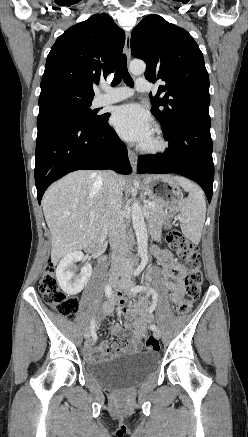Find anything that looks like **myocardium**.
Listing matches in <instances>:
<instances>
[{"instance_id":"myocardium-1","label":"myocardium","mask_w":248,"mask_h":437,"mask_svg":"<svg viewBox=\"0 0 248 437\" xmlns=\"http://www.w3.org/2000/svg\"><path fill=\"white\" fill-rule=\"evenodd\" d=\"M153 143L146 144L142 143L139 149L149 155H158L165 152L169 146L167 140L165 139L162 131L159 128L153 130Z\"/></svg>"}]
</instances>
